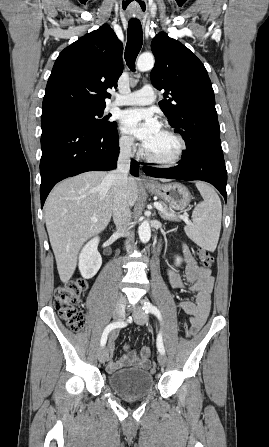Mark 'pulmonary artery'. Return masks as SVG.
<instances>
[{"mask_svg": "<svg viewBox=\"0 0 269 447\" xmlns=\"http://www.w3.org/2000/svg\"><path fill=\"white\" fill-rule=\"evenodd\" d=\"M157 90L151 85H145L141 89L118 95L115 98L116 105H149L156 101Z\"/></svg>", "mask_w": 269, "mask_h": 447, "instance_id": "1", "label": "pulmonary artery"}]
</instances>
